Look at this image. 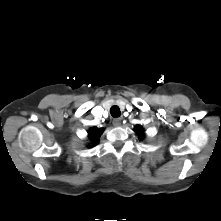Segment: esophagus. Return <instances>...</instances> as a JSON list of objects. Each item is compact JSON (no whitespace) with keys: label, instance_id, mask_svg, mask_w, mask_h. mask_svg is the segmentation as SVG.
<instances>
[{"label":"esophagus","instance_id":"34e87169","mask_svg":"<svg viewBox=\"0 0 221 221\" xmlns=\"http://www.w3.org/2000/svg\"><path fill=\"white\" fill-rule=\"evenodd\" d=\"M121 121H122V118H115V119L113 120V125L116 126V127H118V126L121 125Z\"/></svg>","mask_w":221,"mask_h":221}]
</instances>
